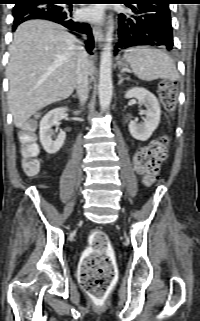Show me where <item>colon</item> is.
<instances>
[{
    "label": "colon",
    "instance_id": "1",
    "mask_svg": "<svg viewBox=\"0 0 200 321\" xmlns=\"http://www.w3.org/2000/svg\"><path fill=\"white\" fill-rule=\"evenodd\" d=\"M178 84L174 81L162 82L159 86L160 100L169 112H173L177 102ZM33 124L26 125L20 134L22 143L23 170L33 176L39 171L36 156L39 152L33 133ZM169 151L168 140L160 137L138 150L134 156V166L145 183L151 184L157 177L162 162ZM89 246L81 260L79 280L84 290L96 301H102L115 276L113 252L108 235L102 230H93L88 236Z\"/></svg>",
    "mask_w": 200,
    "mask_h": 321
}]
</instances>
